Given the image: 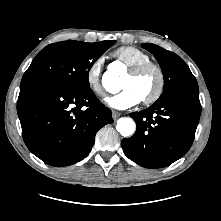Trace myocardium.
<instances>
[{
    "instance_id": "myocardium-1",
    "label": "myocardium",
    "mask_w": 221,
    "mask_h": 221,
    "mask_svg": "<svg viewBox=\"0 0 221 221\" xmlns=\"http://www.w3.org/2000/svg\"><path fill=\"white\" fill-rule=\"evenodd\" d=\"M148 70H154L157 74V84L154 91L147 97L143 98L141 101L145 105H150L155 103L163 94L165 89V73L161 65L153 61H146L129 68L128 73L132 76H138L143 74Z\"/></svg>"
}]
</instances>
